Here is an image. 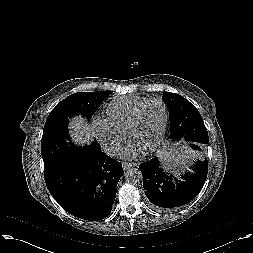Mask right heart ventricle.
Listing matches in <instances>:
<instances>
[{
	"mask_svg": "<svg viewBox=\"0 0 253 253\" xmlns=\"http://www.w3.org/2000/svg\"><path fill=\"white\" fill-rule=\"evenodd\" d=\"M147 99L140 96H122L112 99L107 106L108 120L117 130L125 133L134 112Z\"/></svg>",
	"mask_w": 253,
	"mask_h": 253,
	"instance_id": "obj_1",
	"label": "right heart ventricle"
}]
</instances>
